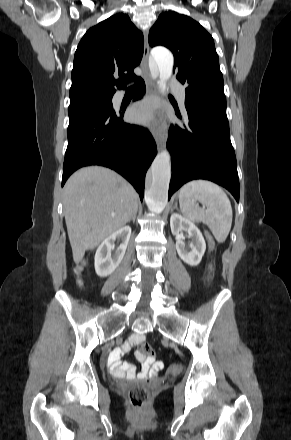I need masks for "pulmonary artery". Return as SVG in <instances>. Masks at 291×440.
I'll return each instance as SVG.
<instances>
[{
    "instance_id": "e3ab8cb5",
    "label": "pulmonary artery",
    "mask_w": 291,
    "mask_h": 440,
    "mask_svg": "<svg viewBox=\"0 0 291 440\" xmlns=\"http://www.w3.org/2000/svg\"><path fill=\"white\" fill-rule=\"evenodd\" d=\"M171 89L173 90V92L175 93V95L177 96L178 100L180 101L182 107H183V103H184V99H185V89L184 87L179 84L178 82L172 81L171 82ZM121 96L118 95L117 99L120 100Z\"/></svg>"
}]
</instances>
